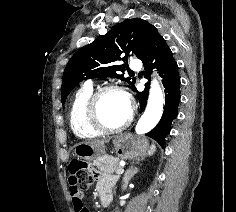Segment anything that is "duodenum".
I'll return each instance as SVG.
<instances>
[{
  "label": "duodenum",
  "instance_id": "obj_1",
  "mask_svg": "<svg viewBox=\"0 0 236 212\" xmlns=\"http://www.w3.org/2000/svg\"><path fill=\"white\" fill-rule=\"evenodd\" d=\"M98 199L101 205H106L111 199L110 190H105V189L98 190Z\"/></svg>",
  "mask_w": 236,
  "mask_h": 212
}]
</instances>
